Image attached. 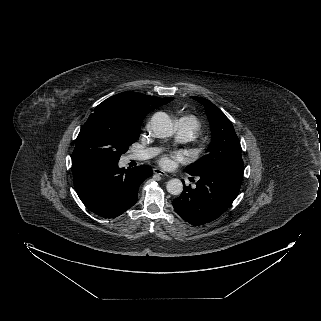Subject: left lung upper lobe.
<instances>
[{
	"instance_id": "1",
	"label": "left lung upper lobe",
	"mask_w": 321,
	"mask_h": 321,
	"mask_svg": "<svg viewBox=\"0 0 321 321\" xmlns=\"http://www.w3.org/2000/svg\"><path fill=\"white\" fill-rule=\"evenodd\" d=\"M192 98L204 105L212 131V141L207 154L186 167L187 173L197 175L217 166L243 165L242 148L231 121L209 100L195 96Z\"/></svg>"
}]
</instances>
